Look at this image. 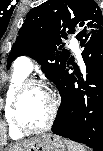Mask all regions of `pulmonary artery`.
Masks as SVG:
<instances>
[{
  "mask_svg": "<svg viewBox=\"0 0 103 151\" xmlns=\"http://www.w3.org/2000/svg\"><path fill=\"white\" fill-rule=\"evenodd\" d=\"M70 47L74 51H78V42L76 39L72 38L70 40ZM16 66L25 71L26 73H30L33 70L34 63L33 60L28 56L19 57L16 61Z\"/></svg>",
  "mask_w": 103,
  "mask_h": 151,
  "instance_id": "1",
  "label": "pulmonary artery"
}]
</instances>
